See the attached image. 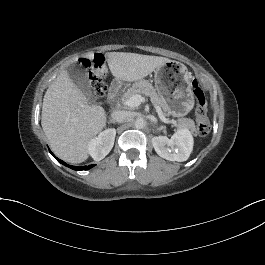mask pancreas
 Listing matches in <instances>:
<instances>
[{
    "instance_id": "obj_1",
    "label": "pancreas",
    "mask_w": 265,
    "mask_h": 265,
    "mask_svg": "<svg viewBox=\"0 0 265 265\" xmlns=\"http://www.w3.org/2000/svg\"><path fill=\"white\" fill-rule=\"evenodd\" d=\"M136 94L149 96L153 103H156L162 107L163 110L166 109V102L164 98L155 91L152 84L148 81L139 80L138 82L134 83L132 88H130L124 95L123 100H127ZM179 129H188L191 132L195 131L196 126L194 120L190 118L182 119L179 124Z\"/></svg>"
}]
</instances>
